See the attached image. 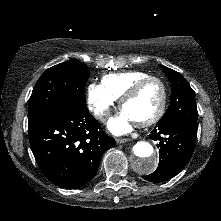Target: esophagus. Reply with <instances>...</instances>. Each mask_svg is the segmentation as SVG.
I'll use <instances>...</instances> for the list:
<instances>
[{"label":"esophagus","mask_w":221,"mask_h":221,"mask_svg":"<svg viewBox=\"0 0 221 221\" xmlns=\"http://www.w3.org/2000/svg\"><path fill=\"white\" fill-rule=\"evenodd\" d=\"M127 141H129L128 138H117V139H116V143H117V144L125 143V142H127Z\"/></svg>","instance_id":"esophagus-1"}]
</instances>
